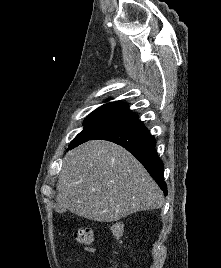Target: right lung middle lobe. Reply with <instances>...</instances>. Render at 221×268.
<instances>
[{
  "label": "right lung middle lobe",
  "mask_w": 221,
  "mask_h": 268,
  "mask_svg": "<svg viewBox=\"0 0 221 268\" xmlns=\"http://www.w3.org/2000/svg\"><path fill=\"white\" fill-rule=\"evenodd\" d=\"M126 123L125 118L110 113L94 111L85 120V127L70 143L69 149L80 145L104 131Z\"/></svg>",
  "instance_id": "dd1d6c3e"
}]
</instances>
